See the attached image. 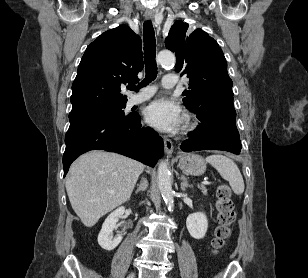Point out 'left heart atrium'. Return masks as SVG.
<instances>
[{
    "mask_svg": "<svg viewBox=\"0 0 308 278\" xmlns=\"http://www.w3.org/2000/svg\"><path fill=\"white\" fill-rule=\"evenodd\" d=\"M145 119L159 130L172 131L182 123L183 113L180 106L173 101L157 99L146 108Z\"/></svg>",
    "mask_w": 308,
    "mask_h": 278,
    "instance_id": "left-heart-atrium-1",
    "label": "left heart atrium"
}]
</instances>
